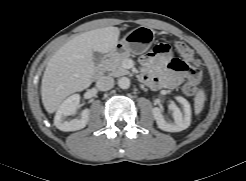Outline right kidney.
Segmentation results:
<instances>
[{
	"label": "right kidney",
	"instance_id": "obj_1",
	"mask_svg": "<svg viewBox=\"0 0 246 181\" xmlns=\"http://www.w3.org/2000/svg\"><path fill=\"white\" fill-rule=\"evenodd\" d=\"M80 102V95L73 94L68 97L63 103L59 106L55 118H54V125L61 131H76L83 129L88 121L90 110L85 109L81 113L80 119H72L70 121H66L65 118L67 116L75 114L79 107Z\"/></svg>",
	"mask_w": 246,
	"mask_h": 181
}]
</instances>
